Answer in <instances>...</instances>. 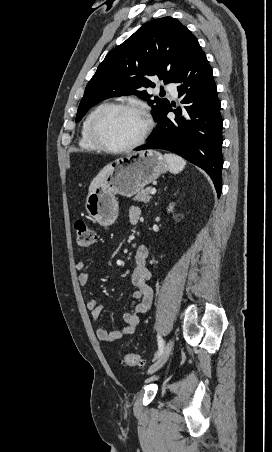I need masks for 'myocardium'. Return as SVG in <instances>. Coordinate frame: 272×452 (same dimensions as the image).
Returning <instances> with one entry per match:
<instances>
[{"label": "myocardium", "mask_w": 272, "mask_h": 452, "mask_svg": "<svg viewBox=\"0 0 272 452\" xmlns=\"http://www.w3.org/2000/svg\"><path fill=\"white\" fill-rule=\"evenodd\" d=\"M126 110L138 115L143 121V129L140 135L131 143L123 146H113L107 143L99 134L98 121L100 117L109 110ZM151 130V122L148 116L139 107L127 103H106L99 106L89 119L88 133L92 142L101 150L111 153H123L131 151L140 146L148 137Z\"/></svg>", "instance_id": "f54148a6"}]
</instances>
